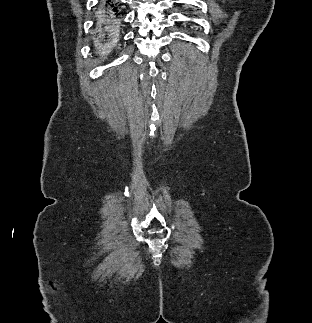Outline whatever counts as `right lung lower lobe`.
<instances>
[{"label": "right lung lower lobe", "instance_id": "1", "mask_svg": "<svg viewBox=\"0 0 312 323\" xmlns=\"http://www.w3.org/2000/svg\"><path fill=\"white\" fill-rule=\"evenodd\" d=\"M97 6L99 16L93 26L97 31L94 48L100 51H108L113 49V45L118 40L119 30L123 23L121 18L124 14V3L116 0H104L98 3Z\"/></svg>", "mask_w": 312, "mask_h": 323}]
</instances>
